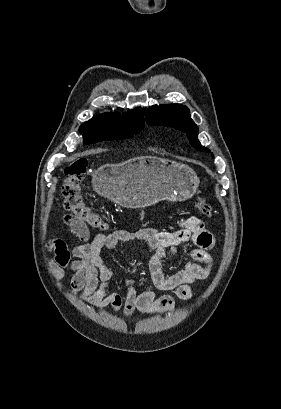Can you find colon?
<instances>
[{
	"mask_svg": "<svg viewBox=\"0 0 281 409\" xmlns=\"http://www.w3.org/2000/svg\"><path fill=\"white\" fill-rule=\"evenodd\" d=\"M88 168V161L79 157L66 165L64 169L65 181L62 194L65 197L64 208L73 216L76 232H83L84 224L90 228L104 230L108 223L95 210L89 207L85 201L82 190V181ZM196 208L206 217H211L212 209L208 202L199 197L196 200Z\"/></svg>",
	"mask_w": 281,
	"mask_h": 409,
	"instance_id": "1",
	"label": "colon"
}]
</instances>
